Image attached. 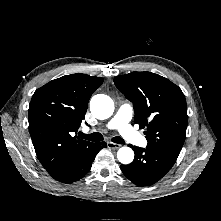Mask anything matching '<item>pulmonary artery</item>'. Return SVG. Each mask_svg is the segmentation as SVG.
I'll list each match as a JSON object with an SVG mask.
<instances>
[{"label": "pulmonary artery", "instance_id": "1", "mask_svg": "<svg viewBox=\"0 0 221 221\" xmlns=\"http://www.w3.org/2000/svg\"><path fill=\"white\" fill-rule=\"evenodd\" d=\"M132 116L133 107L129 103H124L119 106L115 115L109 120L105 128L110 130L116 129L121 136L130 143L144 146L146 144V139L130 125Z\"/></svg>", "mask_w": 221, "mask_h": 221}]
</instances>
